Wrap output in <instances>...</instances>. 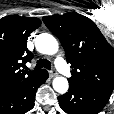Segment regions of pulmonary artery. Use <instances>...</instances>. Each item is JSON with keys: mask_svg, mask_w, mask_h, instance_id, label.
<instances>
[{"mask_svg": "<svg viewBox=\"0 0 114 114\" xmlns=\"http://www.w3.org/2000/svg\"><path fill=\"white\" fill-rule=\"evenodd\" d=\"M55 65L57 67V69L65 76L69 77L70 74V70L69 67L67 66L65 60L61 57L56 58L55 60Z\"/></svg>", "mask_w": 114, "mask_h": 114, "instance_id": "1", "label": "pulmonary artery"}]
</instances>
